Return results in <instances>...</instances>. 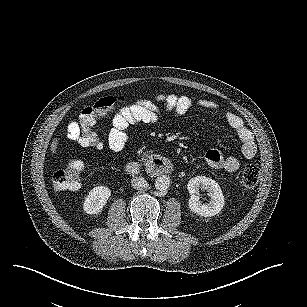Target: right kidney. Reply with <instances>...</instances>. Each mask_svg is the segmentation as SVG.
<instances>
[{"label": "right kidney", "instance_id": "right-kidney-1", "mask_svg": "<svg viewBox=\"0 0 307 307\" xmlns=\"http://www.w3.org/2000/svg\"><path fill=\"white\" fill-rule=\"evenodd\" d=\"M110 194L111 192L108 188L101 186L93 188L85 198L84 211L89 214L101 212Z\"/></svg>", "mask_w": 307, "mask_h": 307}]
</instances>
